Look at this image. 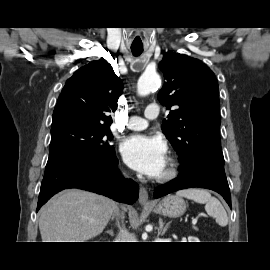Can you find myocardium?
<instances>
[{
  "label": "myocardium",
  "instance_id": "f54148a6",
  "mask_svg": "<svg viewBox=\"0 0 270 270\" xmlns=\"http://www.w3.org/2000/svg\"><path fill=\"white\" fill-rule=\"evenodd\" d=\"M177 173H178L177 161L175 158L169 157L165 171L156 178V181L160 183L168 182L174 179L177 176Z\"/></svg>",
  "mask_w": 270,
  "mask_h": 270
}]
</instances>
